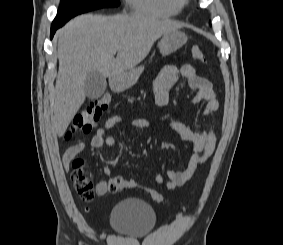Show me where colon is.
<instances>
[{"instance_id": "colon-1", "label": "colon", "mask_w": 283, "mask_h": 245, "mask_svg": "<svg viewBox=\"0 0 283 245\" xmlns=\"http://www.w3.org/2000/svg\"><path fill=\"white\" fill-rule=\"evenodd\" d=\"M191 53L194 59L202 63L206 62V58L199 47L194 46L191 49ZM110 106L111 98L108 95H105L91 102L86 108L76 114L73 119L71 129L66 134V139H71L75 134L78 133H89L99 121L100 117L110 109ZM81 165V160H75L73 162V185L77 194L82 200L90 201L94 196V184L92 180L82 172V170L80 169ZM135 186V181L124 179L120 176L113 177L109 180L108 183L109 192L111 193H115L127 188H133ZM146 192L150 196V198L156 203L163 202V196L158 191L153 189H147Z\"/></svg>"}]
</instances>
